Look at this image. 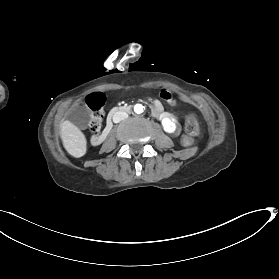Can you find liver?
Masks as SVG:
<instances>
[{"label": "liver", "mask_w": 279, "mask_h": 279, "mask_svg": "<svg viewBox=\"0 0 279 279\" xmlns=\"http://www.w3.org/2000/svg\"><path fill=\"white\" fill-rule=\"evenodd\" d=\"M60 138L63 147L74 158H82L87 151V139L78 126L70 120L62 121L60 125Z\"/></svg>", "instance_id": "6515ba94"}]
</instances>
